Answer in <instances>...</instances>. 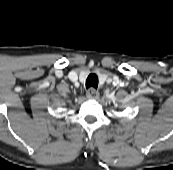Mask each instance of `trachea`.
<instances>
[{
	"label": "trachea",
	"instance_id": "3493384b",
	"mask_svg": "<svg viewBox=\"0 0 173 170\" xmlns=\"http://www.w3.org/2000/svg\"><path fill=\"white\" fill-rule=\"evenodd\" d=\"M98 86V76L96 74H90L86 79V87L87 88H97Z\"/></svg>",
	"mask_w": 173,
	"mask_h": 170
}]
</instances>
